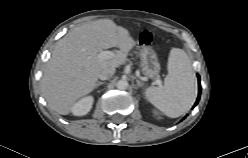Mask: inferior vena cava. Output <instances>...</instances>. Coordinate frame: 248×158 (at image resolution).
Here are the masks:
<instances>
[{
  "label": "inferior vena cava",
  "instance_id": "obj_1",
  "mask_svg": "<svg viewBox=\"0 0 248 158\" xmlns=\"http://www.w3.org/2000/svg\"><path fill=\"white\" fill-rule=\"evenodd\" d=\"M114 73H115V68H114V67H107V68H105V69H103V70L101 71V73L99 74L98 77H99L101 80H107V79H109L110 77H112Z\"/></svg>",
  "mask_w": 248,
  "mask_h": 158
}]
</instances>
